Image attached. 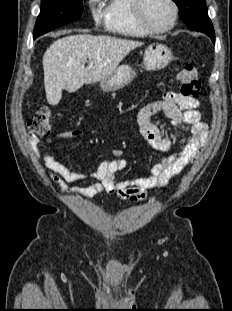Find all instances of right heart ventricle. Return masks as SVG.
Instances as JSON below:
<instances>
[{
	"instance_id": "e07e8e85",
	"label": "right heart ventricle",
	"mask_w": 232,
	"mask_h": 311,
	"mask_svg": "<svg viewBox=\"0 0 232 311\" xmlns=\"http://www.w3.org/2000/svg\"><path fill=\"white\" fill-rule=\"evenodd\" d=\"M104 25L108 31L126 37L147 35V32L134 19L132 0H108L104 13Z\"/></svg>"
}]
</instances>
